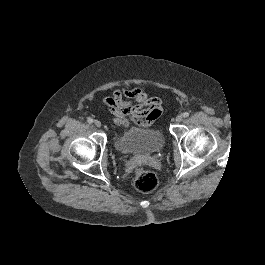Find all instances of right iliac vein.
I'll use <instances>...</instances> for the list:
<instances>
[{"mask_svg":"<svg viewBox=\"0 0 265 265\" xmlns=\"http://www.w3.org/2000/svg\"><path fill=\"white\" fill-rule=\"evenodd\" d=\"M94 125H95L96 127H101V122H100V120H95V121H94Z\"/></svg>","mask_w":265,"mask_h":265,"instance_id":"1","label":"right iliac vein"}]
</instances>
